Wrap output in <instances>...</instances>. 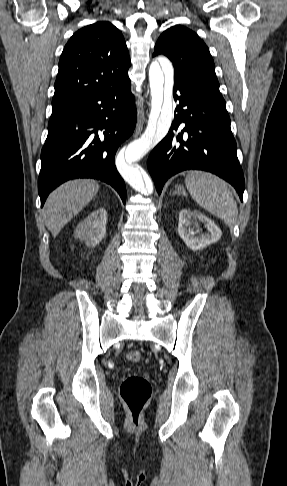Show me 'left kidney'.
I'll return each instance as SVG.
<instances>
[{
  "label": "left kidney",
  "mask_w": 287,
  "mask_h": 486,
  "mask_svg": "<svg viewBox=\"0 0 287 486\" xmlns=\"http://www.w3.org/2000/svg\"><path fill=\"white\" fill-rule=\"evenodd\" d=\"M197 220L204 224L208 233L196 236V233L190 229V224ZM178 234L187 247L194 251L216 243L222 236L221 230L211 219L189 209H183L179 213Z\"/></svg>",
  "instance_id": "obj_1"
}]
</instances>
